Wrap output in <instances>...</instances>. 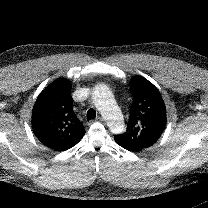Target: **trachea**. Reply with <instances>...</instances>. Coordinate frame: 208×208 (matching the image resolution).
Wrapping results in <instances>:
<instances>
[{"mask_svg": "<svg viewBox=\"0 0 208 208\" xmlns=\"http://www.w3.org/2000/svg\"><path fill=\"white\" fill-rule=\"evenodd\" d=\"M87 121H90L92 119L96 118V111L93 108H90L87 111V115H86Z\"/></svg>", "mask_w": 208, "mask_h": 208, "instance_id": "1", "label": "trachea"}]
</instances>
